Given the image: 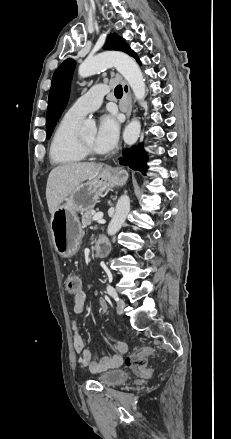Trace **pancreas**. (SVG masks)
Wrapping results in <instances>:
<instances>
[{"label": "pancreas", "instance_id": "cf45deb5", "mask_svg": "<svg viewBox=\"0 0 231 439\" xmlns=\"http://www.w3.org/2000/svg\"><path fill=\"white\" fill-rule=\"evenodd\" d=\"M95 214V211L93 209L87 210L82 214V225L83 227H86L88 225L92 224V216Z\"/></svg>", "mask_w": 231, "mask_h": 439}]
</instances>
